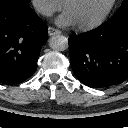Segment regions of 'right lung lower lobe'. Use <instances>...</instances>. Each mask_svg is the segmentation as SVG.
<instances>
[{"instance_id": "obj_1", "label": "right lung lower lobe", "mask_w": 128, "mask_h": 128, "mask_svg": "<svg viewBox=\"0 0 128 128\" xmlns=\"http://www.w3.org/2000/svg\"><path fill=\"white\" fill-rule=\"evenodd\" d=\"M47 26L30 8L15 2H0V82L18 84L37 68Z\"/></svg>"}]
</instances>
